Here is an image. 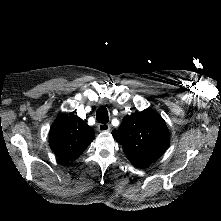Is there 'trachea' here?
<instances>
[{
  "instance_id": "trachea-1",
  "label": "trachea",
  "mask_w": 221,
  "mask_h": 221,
  "mask_svg": "<svg viewBox=\"0 0 221 221\" xmlns=\"http://www.w3.org/2000/svg\"><path fill=\"white\" fill-rule=\"evenodd\" d=\"M96 119L99 123L105 124L109 121L108 111L104 106H101L96 111Z\"/></svg>"
}]
</instances>
